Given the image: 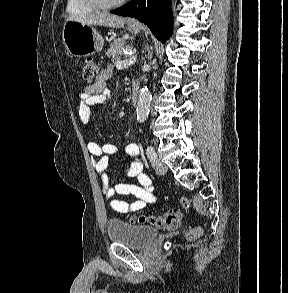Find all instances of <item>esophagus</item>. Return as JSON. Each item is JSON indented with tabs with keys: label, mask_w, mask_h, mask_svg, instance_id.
Listing matches in <instances>:
<instances>
[{
	"label": "esophagus",
	"mask_w": 288,
	"mask_h": 293,
	"mask_svg": "<svg viewBox=\"0 0 288 293\" xmlns=\"http://www.w3.org/2000/svg\"><path fill=\"white\" fill-rule=\"evenodd\" d=\"M130 22L136 24V20L135 19H130Z\"/></svg>",
	"instance_id": "esophagus-1"
}]
</instances>
